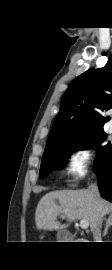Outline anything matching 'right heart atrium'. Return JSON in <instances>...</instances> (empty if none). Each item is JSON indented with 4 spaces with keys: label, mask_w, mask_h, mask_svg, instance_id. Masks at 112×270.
<instances>
[{
    "label": "right heart atrium",
    "mask_w": 112,
    "mask_h": 270,
    "mask_svg": "<svg viewBox=\"0 0 112 270\" xmlns=\"http://www.w3.org/2000/svg\"><path fill=\"white\" fill-rule=\"evenodd\" d=\"M93 159V151L85 145L72 148L65 159L64 170L71 181L83 179L89 171Z\"/></svg>",
    "instance_id": "right-heart-atrium-1"
}]
</instances>
